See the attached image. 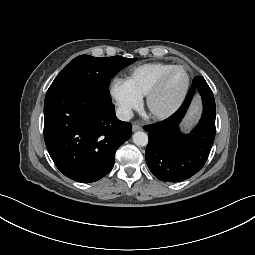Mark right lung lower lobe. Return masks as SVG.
<instances>
[{"label": "right lung lower lobe", "instance_id": "right-lung-lower-lobe-1", "mask_svg": "<svg viewBox=\"0 0 255 255\" xmlns=\"http://www.w3.org/2000/svg\"><path fill=\"white\" fill-rule=\"evenodd\" d=\"M132 126L116 118L114 105L81 89L48 91L44 102V139L57 168L77 182H94L114 166L117 149Z\"/></svg>", "mask_w": 255, "mask_h": 255}]
</instances>
